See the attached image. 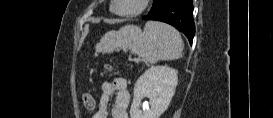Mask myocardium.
I'll return each instance as SVG.
<instances>
[{
  "mask_svg": "<svg viewBox=\"0 0 273 118\" xmlns=\"http://www.w3.org/2000/svg\"><path fill=\"white\" fill-rule=\"evenodd\" d=\"M117 2H118V0H113L111 3V10L113 13H115L116 15L121 16V17H133V16H137V15L141 14L142 12H144V10L146 9V7L148 5L149 0H141V4L138 9H136L134 11H128V12L118 11L116 8Z\"/></svg>",
  "mask_w": 273,
  "mask_h": 118,
  "instance_id": "myocardium-1",
  "label": "myocardium"
}]
</instances>
